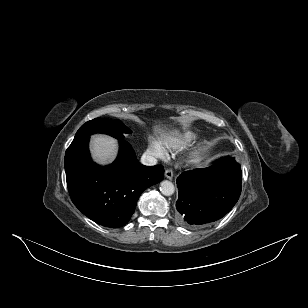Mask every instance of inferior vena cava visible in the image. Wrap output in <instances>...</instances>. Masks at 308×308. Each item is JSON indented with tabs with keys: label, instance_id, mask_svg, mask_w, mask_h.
I'll return each instance as SVG.
<instances>
[{
	"label": "inferior vena cava",
	"instance_id": "602c4592",
	"mask_svg": "<svg viewBox=\"0 0 308 308\" xmlns=\"http://www.w3.org/2000/svg\"><path fill=\"white\" fill-rule=\"evenodd\" d=\"M141 163L146 166H153L157 164V159L149 153H144L141 157Z\"/></svg>",
	"mask_w": 308,
	"mask_h": 308
}]
</instances>
